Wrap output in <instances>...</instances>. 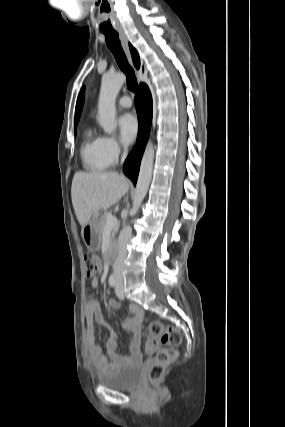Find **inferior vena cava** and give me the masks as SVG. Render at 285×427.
<instances>
[{"mask_svg":"<svg viewBox=\"0 0 285 427\" xmlns=\"http://www.w3.org/2000/svg\"><path fill=\"white\" fill-rule=\"evenodd\" d=\"M127 156V148H124L123 155L121 157V163L124 162ZM132 228L130 226H126L120 232L119 240H118V255L115 260L113 270L116 275H121L124 267V261L127 256V243L131 237Z\"/></svg>","mask_w":285,"mask_h":427,"instance_id":"obj_1","label":"inferior vena cava"}]
</instances>
